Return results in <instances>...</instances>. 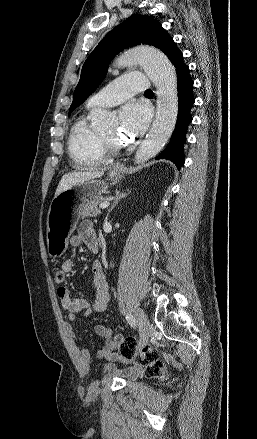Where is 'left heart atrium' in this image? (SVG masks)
Returning <instances> with one entry per match:
<instances>
[{
	"label": "left heart atrium",
	"mask_w": 257,
	"mask_h": 439,
	"mask_svg": "<svg viewBox=\"0 0 257 439\" xmlns=\"http://www.w3.org/2000/svg\"><path fill=\"white\" fill-rule=\"evenodd\" d=\"M119 117L122 134L133 139L146 130L150 121V111L142 103L131 102L121 108Z\"/></svg>",
	"instance_id": "obj_1"
}]
</instances>
